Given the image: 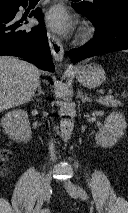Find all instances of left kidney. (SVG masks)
<instances>
[{
	"mask_svg": "<svg viewBox=\"0 0 128 213\" xmlns=\"http://www.w3.org/2000/svg\"><path fill=\"white\" fill-rule=\"evenodd\" d=\"M127 127L124 116L118 112H112L105 120L104 126L96 133L97 145L111 148L124 135Z\"/></svg>",
	"mask_w": 128,
	"mask_h": 213,
	"instance_id": "obj_1",
	"label": "left kidney"
}]
</instances>
